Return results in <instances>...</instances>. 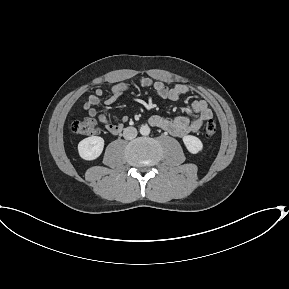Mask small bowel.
Wrapping results in <instances>:
<instances>
[{
	"label": "small bowel",
	"mask_w": 289,
	"mask_h": 289,
	"mask_svg": "<svg viewBox=\"0 0 289 289\" xmlns=\"http://www.w3.org/2000/svg\"><path fill=\"white\" fill-rule=\"evenodd\" d=\"M139 84L142 87H151L157 97L173 101L178 100L183 95L189 94L191 91L190 88L184 84H177L174 87H168L163 81L154 80L150 77L141 78ZM128 88L129 83L126 82H116L112 84L110 88V96L104 101V103L106 105L113 104ZM104 94L105 91L103 89H97L85 102L84 109L88 112L90 117H97L109 133L116 135L122 130V122L127 121V117H123L122 122L116 124L107 119L104 114H99L95 106L102 102ZM191 108L196 114L194 118H189L185 115L176 116L174 118H165L160 115H153L149 118V122L151 125L161 128L175 137L183 138L189 134L197 133L203 124L213 116L212 111L205 100H194L191 104Z\"/></svg>",
	"instance_id": "obj_1"
}]
</instances>
